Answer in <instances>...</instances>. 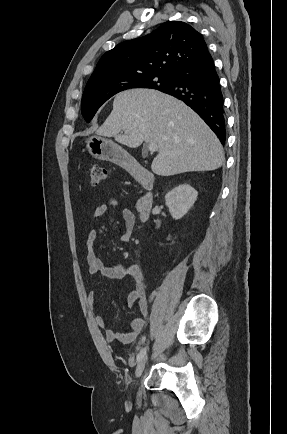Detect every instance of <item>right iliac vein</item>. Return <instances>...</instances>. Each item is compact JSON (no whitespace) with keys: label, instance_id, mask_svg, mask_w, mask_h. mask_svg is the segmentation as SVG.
<instances>
[{"label":"right iliac vein","instance_id":"obj_1","mask_svg":"<svg viewBox=\"0 0 287 434\" xmlns=\"http://www.w3.org/2000/svg\"><path fill=\"white\" fill-rule=\"evenodd\" d=\"M147 359H148V356L145 355V356H144V357L139 361V363H138V365H137V367H136V370H135V377H136V378H139V377L142 375V373H143V371H144V369H145L146 363H147Z\"/></svg>","mask_w":287,"mask_h":434}]
</instances>
